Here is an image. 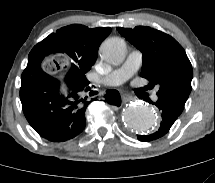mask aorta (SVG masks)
I'll return each mask as SVG.
<instances>
[{
  "label": "aorta",
  "mask_w": 215,
  "mask_h": 183,
  "mask_svg": "<svg viewBox=\"0 0 215 183\" xmlns=\"http://www.w3.org/2000/svg\"><path fill=\"white\" fill-rule=\"evenodd\" d=\"M100 54L108 63L119 64L125 58L126 44L118 37L106 39L100 46ZM122 118L128 129L138 133H150L158 126V117L154 110L141 102L127 105L123 109Z\"/></svg>",
  "instance_id": "aorta-1"
}]
</instances>
